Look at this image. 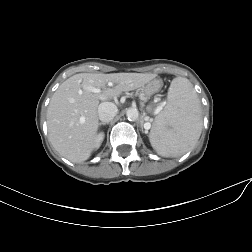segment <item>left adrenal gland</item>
I'll list each match as a JSON object with an SVG mask.
<instances>
[{"mask_svg": "<svg viewBox=\"0 0 252 252\" xmlns=\"http://www.w3.org/2000/svg\"><path fill=\"white\" fill-rule=\"evenodd\" d=\"M142 132H144V133H146V134L148 133V131H147V130H145V131L143 130V127H142Z\"/></svg>", "mask_w": 252, "mask_h": 252, "instance_id": "a2214340", "label": "left adrenal gland"}]
</instances>
